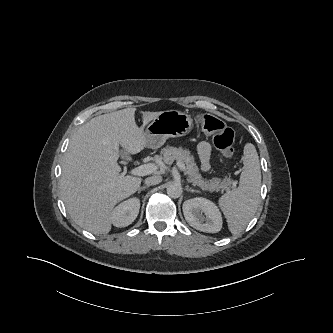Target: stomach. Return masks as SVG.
Here are the masks:
<instances>
[{
  "label": "stomach",
  "instance_id": "0dacf381",
  "mask_svg": "<svg viewBox=\"0 0 333 333\" xmlns=\"http://www.w3.org/2000/svg\"><path fill=\"white\" fill-rule=\"evenodd\" d=\"M193 126V119L190 115L178 110L163 111L146 127L144 136L147 147L159 148L169 137L189 134Z\"/></svg>",
  "mask_w": 333,
  "mask_h": 333
}]
</instances>
